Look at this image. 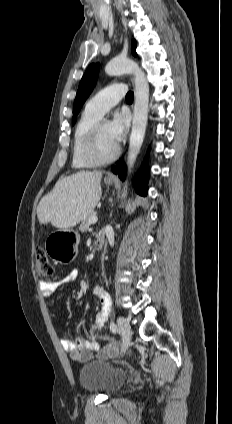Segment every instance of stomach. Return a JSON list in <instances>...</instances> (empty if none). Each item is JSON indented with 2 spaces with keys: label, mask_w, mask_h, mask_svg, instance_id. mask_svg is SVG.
Instances as JSON below:
<instances>
[{
  "label": "stomach",
  "mask_w": 232,
  "mask_h": 424,
  "mask_svg": "<svg viewBox=\"0 0 232 424\" xmlns=\"http://www.w3.org/2000/svg\"><path fill=\"white\" fill-rule=\"evenodd\" d=\"M107 186L113 185L114 181L104 179ZM79 235L76 231L57 230L52 232L45 241V251L53 259L59 263H68L72 261L78 251Z\"/></svg>",
  "instance_id": "obj_1"
}]
</instances>
